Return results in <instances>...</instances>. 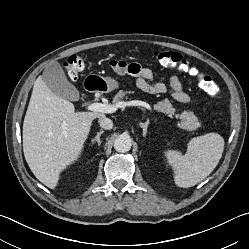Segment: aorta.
<instances>
[{"mask_svg":"<svg viewBox=\"0 0 249 249\" xmlns=\"http://www.w3.org/2000/svg\"><path fill=\"white\" fill-rule=\"evenodd\" d=\"M132 141L130 136L122 134L118 136L114 141V149L117 152L125 153L131 149Z\"/></svg>","mask_w":249,"mask_h":249,"instance_id":"obj_1","label":"aorta"}]
</instances>
